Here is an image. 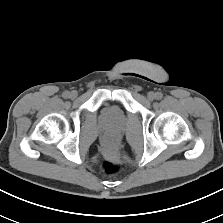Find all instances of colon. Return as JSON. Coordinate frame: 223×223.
Here are the masks:
<instances>
[{"instance_id":"1","label":"colon","mask_w":223,"mask_h":223,"mask_svg":"<svg viewBox=\"0 0 223 223\" xmlns=\"http://www.w3.org/2000/svg\"><path fill=\"white\" fill-rule=\"evenodd\" d=\"M117 146H118V141L115 136L110 135L106 138L104 149L107 153L109 154L114 153L117 149ZM102 169L106 174L111 175L123 170L124 164L120 161L105 160L102 163Z\"/></svg>"}]
</instances>
